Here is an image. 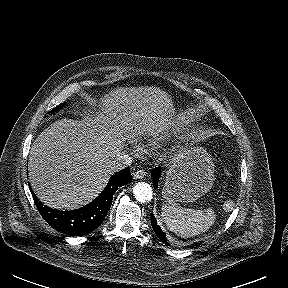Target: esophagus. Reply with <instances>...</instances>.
<instances>
[{
  "instance_id": "esophagus-1",
  "label": "esophagus",
  "mask_w": 288,
  "mask_h": 288,
  "mask_svg": "<svg viewBox=\"0 0 288 288\" xmlns=\"http://www.w3.org/2000/svg\"><path fill=\"white\" fill-rule=\"evenodd\" d=\"M146 175H147V173L144 170H137L134 173V178L135 179H143Z\"/></svg>"
}]
</instances>
